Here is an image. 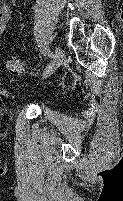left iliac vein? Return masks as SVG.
<instances>
[{"label": "left iliac vein", "mask_w": 123, "mask_h": 201, "mask_svg": "<svg viewBox=\"0 0 123 201\" xmlns=\"http://www.w3.org/2000/svg\"><path fill=\"white\" fill-rule=\"evenodd\" d=\"M64 60L65 55L63 51L59 47H56L53 59L51 60L49 67L44 72L43 77L46 78L50 76L63 63Z\"/></svg>", "instance_id": "4c4485c4"}]
</instances>
